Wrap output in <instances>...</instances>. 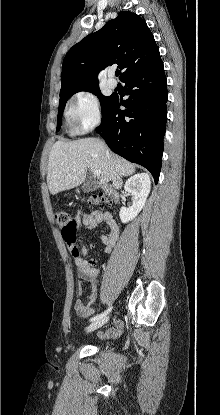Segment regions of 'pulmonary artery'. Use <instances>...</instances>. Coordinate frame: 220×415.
<instances>
[{"mask_svg":"<svg viewBox=\"0 0 220 415\" xmlns=\"http://www.w3.org/2000/svg\"><path fill=\"white\" fill-rule=\"evenodd\" d=\"M107 84L112 89L117 87V80L113 77V72H110Z\"/></svg>","mask_w":220,"mask_h":415,"instance_id":"pulmonary-artery-1","label":"pulmonary artery"}]
</instances>
